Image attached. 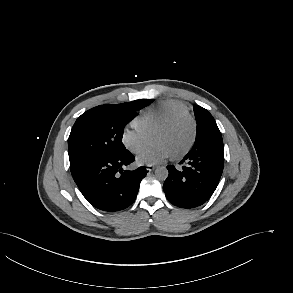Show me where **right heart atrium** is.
Listing matches in <instances>:
<instances>
[{
    "instance_id": "right-heart-atrium-1",
    "label": "right heart atrium",
    "mask_w": 293,
    "mask_h": 293,
    "mask_svg": "<svg viewBox=\"0 0 293 293\" xmlns=\"http://www.w3.org/2000/svg\"><path fill=\"white\" fill-rule=\"evenodd\" d=\"M121 142L131 153H139L148 143V135L134 125L125 127L121 134Z\"/></svg>"
}]
</instances>
